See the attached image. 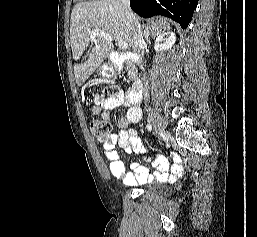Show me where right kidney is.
Listing matches in <instances>:
<instances>
[{
  "label": "right kidney",
  "instance_id": "1",
  "mask_svg": "<svg viewBox=\"0 0 257 237\" xmlns=\"http://www.w3.org/2000/svg\"><path fill=\"white\" fill-rule=\"evenodd\" d=\"M175 41V33L164 32L156 38L154 49L157 53L169 50L175 44Z\"/></svg>",
  "mask_w": 257,
  "mask_h": 237
}]
</instances>
